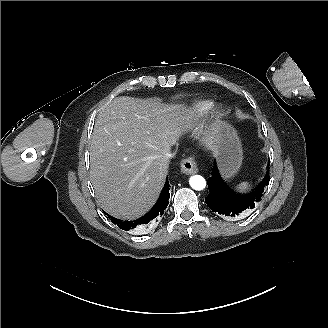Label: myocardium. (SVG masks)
I'll list each match as a JSON object with an SVG mask.
<instances>
[{
  "label": "myocardium",
  "instance_id": "1",
  "mask_svg": "<svg viewBox=\"0 0 328 328\" xmlns=\"http://www.w3.org/2000/svg\"><path fill=\"white\" fill-rule=\"evenodd\" d=\"M225 112L224 110L216 105L209 113L210 124L213 130H220L225 121ZM198 139L202 144H207L208 138L205 133H200ZM213 142V141H212Z\"/></svg>",
  "mask_w": 328,
  "mask_h": 328
}]
</instances>
